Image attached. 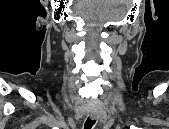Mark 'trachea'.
I'll use <instances>...</instances> for the list:
<instances>
[{
  "label": "trachea",
  "mask_w": 169,
  "mask_h": 129,
  "mask_svg": "<svg viewBox=\"0 0 169 129\" xmlns=\"http://www.w3.org/2000/svg\"><path fill=\"white\" fill-rule=\"evenodd\" d=\"M94 124H95V121L88 117L87 120L85 121L84 129H91Z\"/></svg>",
  "instance_id": "trachea-1"
}]
</instances>
